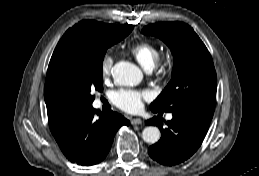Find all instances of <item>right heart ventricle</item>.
<instances>
[{
	"instance_id": "right-heart-ventricle-1",
	"label": "right heart ventricle",
	"mask_w": 259,
	"mask_h": 176,
	"mask_svg": "<svg viewBox=\"0 0 259 176\" xmlns=\"http://www.w3.org/2000/svg\"><path fill=\"white\" fill-rule=\"evenodd\" d=\"M131 55L146 69L154 68L159 58V48L157 45L148 41H139L130 47Z\"/></svg>"
}]
</instances>
